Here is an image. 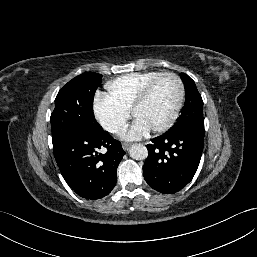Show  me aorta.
I'll list each match as a JSON object with an SVG mask.
<instances>
[{
	"mask_svg": "<svg viewBox=\"0 0 257 257\" xmlns=\"http://www.w3.org/2000/svg\"><path fill=\"white\" fill-rule=\"evenodd\" d=\"M129 154H130V157H132L135 160H143L147 158L148 150L142 144H134L131 147Z\"/></svg>",
	"mask_w": 257,
	"mask_h": 257,
	"instance_id": "obj_1",
	"label": "aorta"
}]
</instances>
